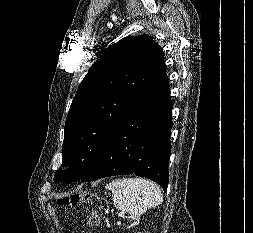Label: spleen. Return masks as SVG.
Here are the masks:
<instances>
[{"instance_id":"3e777b00","label":"spleen","mask_w":253,"mask_h":233,"mask_svg":"<svg viewBox=\"0 0 253 233\" xmlns=\"http://www.w3.org/2000/svg\"><path fill=\"white\" fill-rule=\"evenodd\" d=\"M113 194L116 208L130 215L137 223L150 208H156L163 201V194L157 184L143 178L116 179L106 185Z\"/></svg>"}]
</instances>
